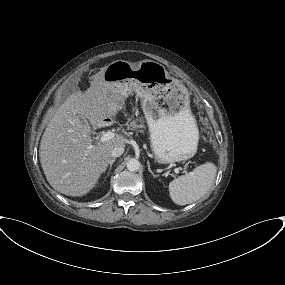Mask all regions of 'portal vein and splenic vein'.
Returning <instances> with one entry per match:
<instances>
[{
	"label": "portal vein and splenic vein",
	"instance_id": "portal-vein-and-splenic-vein-1",
	"mask_svg": "<svg viewBox=\"0 0 285 285\" xmlns=\"http://www.w3.org/2000/svg\"><path fill=\"white\" fill-rule=\"evenodd\" d=\"M114 137H115V133H113V132H111V131H107V132H105V133L100 137L99 142H100V143H103V142H106V141H108V140L113 139ZM174 172H175L176 174H179V173H180V171H179L178 168H175V169H174Z\"/></svg>",
	"mask_w": 285,
	"mask_h": 285
}]
</instances>
